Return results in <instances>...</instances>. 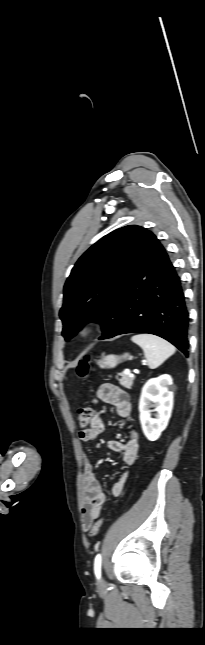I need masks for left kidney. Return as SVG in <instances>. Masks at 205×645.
Here are the masks:
<instances>
[{
	"label": "left kidney",
	"instance_id": "left-kidney-1",
	"mask_svg": "<svg viewBox=\"0 0 205 645\" xmlns=\"http://www.w3.org/2000/svg\"><path fill=\"white\" fill-rule=\"evenodd\" d=\"M172 384L171 376L164 374L148 380L142 388L140 422L144 435L150 441L157 440L168 425L173 408V392L169 390ZM152 407L155 409L151 410ZM151 412H156L154 417Z\"/></svg>",
	"mask_w": 205,
	"mask_h": 645
}]
</instances>
